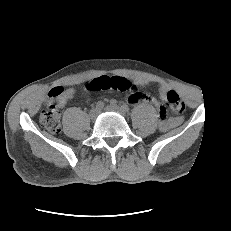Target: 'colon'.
Masks as SVG:
<instances>
[{
	"instance_id": "5ec220e1",
	"label": "colon",
	"mask_w": 231,
	"mask_h": 231,
	"mask_svg": "<svg viewBox=\"0 0 231 231\" xmlns=\"http://www.w3.org/2000/svg\"><path fill=\"white\" fill-rule=\"evenodd\" d=\"M91 92L99 91H117V92H129L131 90L130 82L123 77H102L93 80L89 86ZM61 94V89L54 88L50 92L52 99H56ZM166 106L159 107V114L161 121L164 123L166 110H170L175 114H181L184 111V103L181 100L179 94L173 90H167L165 94ZM178 122V119H176ZM41 124L50 132L58 133L61 130L60 125V114L59 109L55 103H50L46 108H44L40 113Z\"/></svg>"
}]
</instances>
